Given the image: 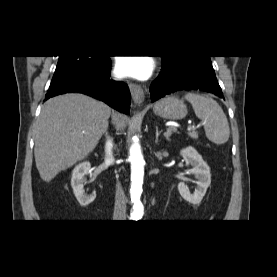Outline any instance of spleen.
<instances>
[{
  "mask_svg": "<svg viewBox=\"0 0 277 277\" xmlns=\"http://www.w3.org/2000/svg\"><path fill=\"white\" fill-rule=\"evenodd\" d=\"M184 97L191 103L196 116L202 120L208 140L218 145L226 143L230 129L219 104L210 97L195 93H187Z\"/></svg>",
  "mask_w": 277,
  "mask_h": 277,
  "instance_id": "obj_1",
  "label": "spleen"
}]
</instances>
